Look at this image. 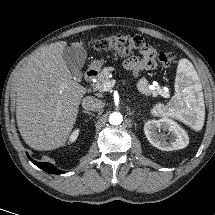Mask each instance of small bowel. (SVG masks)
<instances>
[{"instance_id":"small-bowel-1","label":"small bowel","mask_w":215,"mask_h":215,"mask_svg":"<svg viewBox=\"0 0 215 215\" xmlns=\"http://www.w3.org/2000/svg\"><path fill=\"white\" fill-rule=\"evenodd\" d=\"M156 52L150 45H145L141 50L140 57H131L125 60L124 65L135 75L143 70H153L156 68Z\"/></svg>"}]
</instances>
